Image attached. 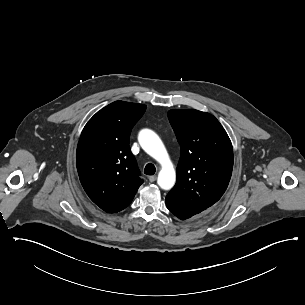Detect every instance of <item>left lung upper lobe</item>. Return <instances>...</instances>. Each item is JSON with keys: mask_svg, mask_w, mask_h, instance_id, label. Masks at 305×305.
Wrapping results in <instances>:
<instances>
[{"mask_svg": "<svg viewBox=\"0 0 305 305\" xmlns=\"http://www.w3.org/2000/svg\"><path fill=\"white\" fill-rule=\"evenodd\" d=\"M168 118L181 155L176 184L166 199L200 213L216 203L227 189L233 168L231 141L209 113L174 109L168 112Z\"/></svg>", "mask_w": 305, "mask_h": 305, "instance_id": "left-lung-upper-lobe-1", "label": "left lung upper lobe"}]
</instances>
